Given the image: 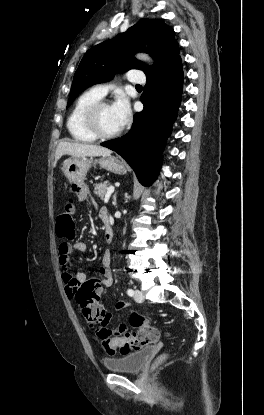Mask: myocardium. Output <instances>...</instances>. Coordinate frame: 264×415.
<instances>
[{"label":"myocardium","mask_w":264,"mask_h":415,"mask_svg":"<svg viewBox=\"0 0 264 415\" xmlns=\"http://www.w3.org/2000/svg\"><path fill=\"white\" fill-rule=\"evenodd\" d=\"M106 105H110L108 101L100 100L88 107L83 114V124L85 128L91 135H93L96 139L100 140L117 138L123 132V126H121L116 132H113L111 134H105L101 131L98 121V115L100 110Z\"/></svg>","instance_id":"f54148a6"}]
</instances>
